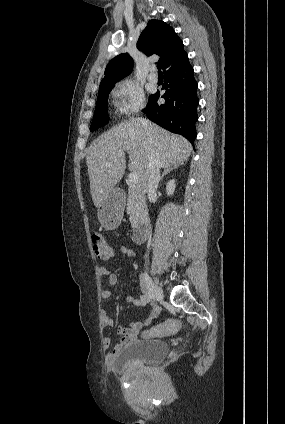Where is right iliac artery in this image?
Listing matches in <instances>:
<instances>
[{
	"label": "right iliac artery",
	"instance_id": "obj_1",
	"mask_svg": "<svg viewBox=\"0 0 285 424\" xmlns=\"http://www.w3.org/2000/svg\"><path fill=\"white\" fill-rule=\"evenodd\" d=\"M141 277L146 284L149 299L155 300L154 290H153V287H152V281H151L149 275L147 273H142Z\"/></svg>",
	"mask_w": 285,
	"mask_h": 424
}]
</instances>
